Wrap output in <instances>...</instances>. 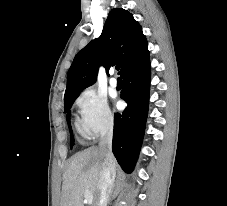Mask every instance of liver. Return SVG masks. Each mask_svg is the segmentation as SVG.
<instances>
[{
    "label": "liver",
    "mask_w": 227,
    "mask_h": 206,
    "mask_svg": "<svg viewBox=\"0 0 227 206\" xmlns=\"http://www.w3.org/2000/svg\"><path fill=\"white\" fill-rule=\"evenodd\" d=\"M103 155L99 147H90L74 155L64 174L60 206H84V192L93 194L92 206H96L100 190L99 179Z\"/></svg>",
    "instance_id": "6515ba94"
}]
</instances>
